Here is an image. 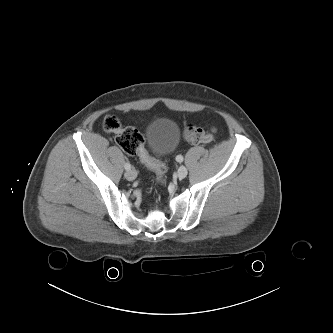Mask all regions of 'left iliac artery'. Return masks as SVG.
<instances>
[{"label": "left iliac artery", "mask_w": 333, "mask_h": 333, "mask_svg": "<svg viewBox=\"0 0 333 333\" xmlns=\"http://www.w3.org/2000/svg\"><path fill=\"white\" fill-rule=\"evenodd\" d=\"M183 159H184V158H183L182 155H177V156H176V161L179 162V163L183 162Z\"/></svg>", "instance_id": "1"}]
</instances>
